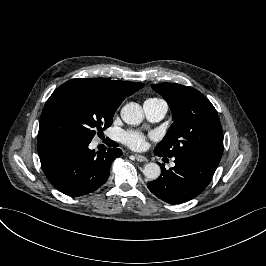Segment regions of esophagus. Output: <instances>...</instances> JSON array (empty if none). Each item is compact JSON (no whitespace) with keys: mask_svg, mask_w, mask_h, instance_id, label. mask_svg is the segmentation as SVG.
Instances as JSON below:
<instances>
[{"mask_svg":"<svg viewBox=\"0 0 266 266\" xmlns=\"http://www.w3.org/2000/svg\"><path fill=\"white\" fill-rule=\"evenodd\" d=\"M134 157L138 162H146L147 161V158L141 154H134Z\"/></svg>","mask_w":266,"mask_h":266,"instance_id":"34e87169","label":"esophagus"}]
</instances>
